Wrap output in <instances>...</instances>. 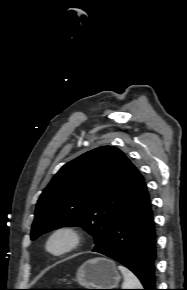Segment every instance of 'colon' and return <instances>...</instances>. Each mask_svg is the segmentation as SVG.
<instances>
[{"label": "colon", "instance_id": "colon-1", "mask_svg": "<svg viewBox=\"0 0 187 290\" xmlns=\"http://www.w3.org/2000/svg\"><path fill=\"white\" fill-rule=\"evenodd\" d=\"M33 290H79V289H33Z\"/></svg>", "mask_w": 187, "mask_h": 290}]
</instances>
